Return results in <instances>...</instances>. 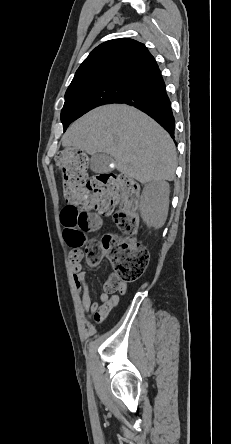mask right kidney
Here are the masks:
<instances>
[{
	"label": "right kidney",
	"mask_w": 231,
	"mask_h": 444,
	"mask_svg": "<svg viewBox=\"0 0 231 444\" xmlns=\"http://www.w3.org/2000/svg\"><path fill=\"white\" fill-rule=\"evenodd\" d=\"M169 184L165 181L145 185L140 202L143 221L150 227L160 228L166 220L169 207Z\"/></svg>",
	"instance_id": "ca27d5eb"
}]
</instances>
